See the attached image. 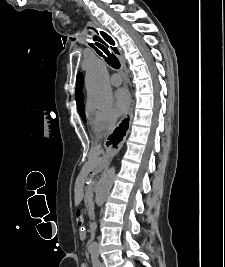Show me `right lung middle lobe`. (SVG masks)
<instances>
[{"instance_id":"right-lung-middle-lobe-1","label":"right lung middle lobe","mask_w":225,"mask_h":267,"mask_svg":"<svg viewBox=\"0 0 225 267\" xmlns=\"http://www.w3.org/2000/svg\"><path fill=\"white\" fill-rule=\"evenodd\" d=\"M79 113H80L82 119H83L84 121H86L85 113H84V107H82L81 109H79Z\"/></svg>"}]
</instances>
